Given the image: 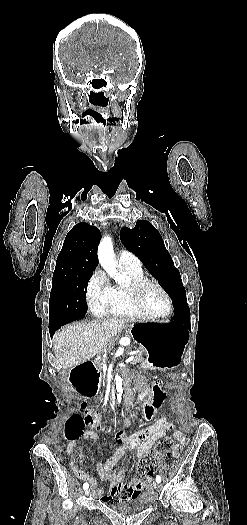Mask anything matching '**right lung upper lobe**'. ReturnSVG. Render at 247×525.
Returning <instances> with one entry per match:
<instances>
[{"label": "right lung upper lobe", "mask_w": 247, "mask_h": 525, "mask_svg": "<svg viewBox=\"0 0 247 525\" xmlns=\"http://www.w3.org/2000/svg\"><path fill=\"white\" fill-rule=\"evenodd\" d=\"M101 234L88 223L76 224L67 234L57 257L55 271L93 272L97 266V246Z\"/></svg>", "instance_id": "right-lung-upper-lobe-1"}]
</instances>
